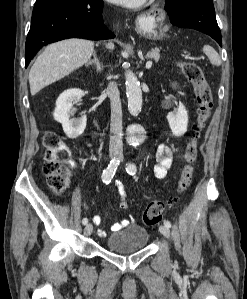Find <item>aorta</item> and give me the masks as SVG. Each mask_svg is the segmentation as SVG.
<instances>
[{
  "mask_svg": "<svg viewBox=\"0 0 247 299\" xmlns=\"http://www.w3.org/2000/svg\"><path fill=\"white\" fill-rule=\"evenodd\" d=\"M125 79L128 110L131 115L138 116L143 103L140 82L130 70H126ZM144 138L145 129L140 124L135 123L127 128V142L130 145L137 146L144 141Z\"/></svg>",
  "mask_w": 247,
  "mask_h": 299,
  "instance_id": "obj_1",
  "label": "aorta"
}]
</instances>
